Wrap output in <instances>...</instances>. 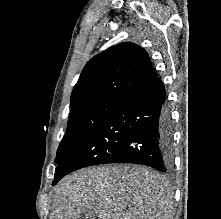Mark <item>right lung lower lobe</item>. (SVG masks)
<instances>
[{"label": "right lung lower lobe", "mask_w": 221, "mask_h": 219, "mask_svg": "<svg viewBox=\"0 0 221 219\" xmlns=\"http://www.w3.org/2000/svg\"><path fill=\"white\" fill-rule=\"evenodd\" d=\"M165 99L157 77L126 95L97 130L58 164L53 185L77 169L105 163H135L168 172L173 139Z\"/></svg>", "instance_id": "right-lung-lower-lobe-1"}]
</instances>
